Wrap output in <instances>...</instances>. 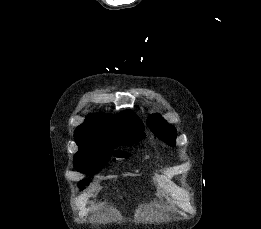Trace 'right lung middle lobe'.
Segmentation results:
<instances>
[{
  "mask_svg": "<svg viewBox=\"0 0 261 229\" xmlns=\"http://www.w3.org/2000/svg\"><path fill=\"white\" fill-rule=\"evenodd\" d=\"M118 132L125 140L126 145L136 143L145 137L144 126L142 125L124 126ZM110 156V148H79V151L74 155V166L77 171L94 175L108 162ZM117 156L127 158L130 157V154L118 152ZM87 183L88 181L82 180L78 183V186L82 190Z\"/></svg>",
  "mask_w": 261,
  "mask_h": 229,
  "instance_id": "1",
  "label": "right lung middle lobe"
}]
</instances>
